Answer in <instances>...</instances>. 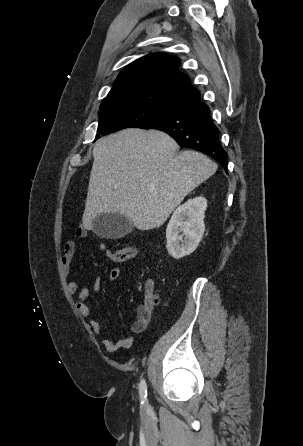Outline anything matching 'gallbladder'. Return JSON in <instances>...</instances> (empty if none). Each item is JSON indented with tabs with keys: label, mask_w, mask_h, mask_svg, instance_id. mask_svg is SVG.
<instances>
[{
	"label": "gallbladder",
	"mask_w": 303,
	"mask_h": 446,
	"mask_svg": "<svg viewBox=\"0 0 303 446\" xmlns=\"http://www.w3.org/2000/svg\"><path fill=\"white\" fill-rule=\"evenodd\" d=\"M132 229L130 219L117 214H100L93 222V232L102 238H120Z\"/></svg>",
	"instance_id": "1"
}]
</instances>
